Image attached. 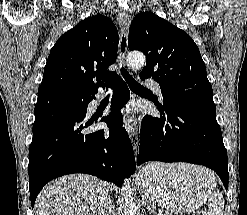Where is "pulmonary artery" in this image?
Masks as SVG:
<instances>
[{"instance_id": "1", "label": "pulmonary artery", "mask_w": 247, "mask_h": 215, "mask_svg": "<svg viewBox=\"0 0 247 215\" xmlns=\"http://www.w3.org/2000/svg\"><path fill=\"white\" fill-rule=\"evenodd\" d=\"M145 85H146V87L152 89L153 91H155L156 93L161 95V88H160L159 84L155 80L146 79L145 80Z\"/></svg>"}]
</instances>
